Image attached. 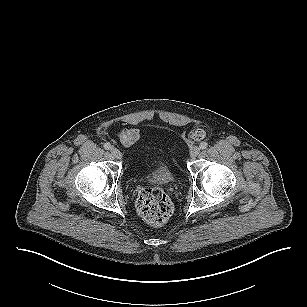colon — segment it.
<instances>
[{"instance_id": "5ec220e1", "label": "colon", "mask_w": 307, "mask_h": 307, "mask_svg": "<svg viewBox=\"0 0 307 307\" xmlns=\"http://www.w3.org/2000/svg\"><path fill=\"white\" fill-rule=\"evenodd\" d=\"M192 137L202 139L204 131L197 129L192 132ZM136 207L143 219L156 225L166 222L173 211L170 198L159 188H142L137 196Z\"/></svg>"}]
</instances>
